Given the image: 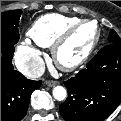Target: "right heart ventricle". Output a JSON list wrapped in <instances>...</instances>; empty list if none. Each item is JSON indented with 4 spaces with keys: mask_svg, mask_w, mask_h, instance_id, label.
I'll use <instances>...</instances> for the list:
<instances>
[{
    "mask_svg": "<svg viewBox=\"0 0 121 121\" xmlns=\"http://www.w3.org/2000/svg\"><path fill=\"white\" fill-rule=\"evenodd\" d=\"M79 20L77 17L56 13L46 14L34 21L29 29V35L37 45L51 47L64 30Z\"/></svg>",
    "mask_w": 121,
    "mask_h": 121,
    "instance_id": "right-heart-ventricle-1",
    "label": "right heart ventricle"
}]
</instances>
